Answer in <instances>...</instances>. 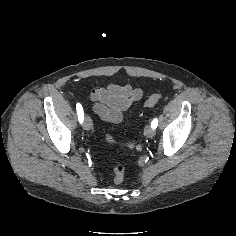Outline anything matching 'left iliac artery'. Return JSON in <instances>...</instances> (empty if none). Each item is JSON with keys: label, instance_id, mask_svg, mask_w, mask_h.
<instances>
[{"label": "left iliac artery", "instance_id": "left-iliac-artery-1", "mask_svg": "<svg viewBox=\"0 0 236 236\" xmlns=\"http://www.w3.org/2000/svg\"><path fill=\"white\" fill-rule=\"evenodd\" d=\"M157 126H158V120H157V118H155V119L152 121V123H151V127H152L153 129H155Z\"/></svg>", "mask_w": 236, "mask_h": 236}]
</instances>
